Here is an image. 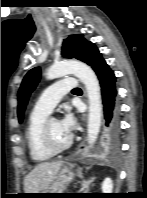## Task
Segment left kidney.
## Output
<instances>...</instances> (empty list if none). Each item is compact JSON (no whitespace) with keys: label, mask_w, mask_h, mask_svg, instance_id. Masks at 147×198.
Masks as SVG:
<instances>
[{"label":"left kidney","mask_w":147,"mask_h":198,"mask_svg":"<svg viewBox=\"0 0 147 198\" xmlns=\"http://www.w3.org/2000/svg\"><path fill=\"white\" fill-rule=\"evenodd\" d=\"M101 189L103 193H112V189H113L112 180L110 178H105L102 183Z\"/></svg>","instance_id":"1"}]
</instances>
